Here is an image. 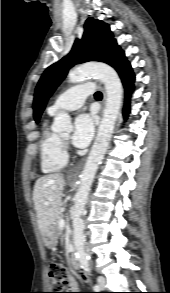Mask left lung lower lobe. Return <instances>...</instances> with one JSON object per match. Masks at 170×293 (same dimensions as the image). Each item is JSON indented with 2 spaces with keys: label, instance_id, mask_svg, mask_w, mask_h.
Segmentation results:
<instances>
[{
  "label": "left lung lower lobe",
  "instance_id": "obj_1",
  "mask_svg": "<svg viewBox=\"0 0 170 293\" xmlns=\"http://www.w3.org/2000/svg\"><path fill=\"white\" fill-rule=\"evenodd\" d=\"M115 70L118 72L120 78L122 79V82L124 84V87L126 89V92L131 90L133 88V83L135 80L132 68L130 63L127 61L124 52H122L112 63L111 65ZM130 111L129 107V97L126 96V102L124 106V117L127 118L128 113Z\"/></svg>",
  "mask_w": 170,
  "mask_h": 293
}]
</instances>
